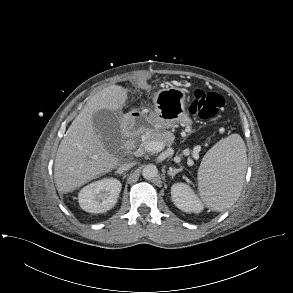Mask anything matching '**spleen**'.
Instances as JSON below:
<instances>
[{"label":"spleen","instance_id":"3e777b00","mask_svg":"<svg viewBox=\"0 0 293 293\" xmlns=\"http://www.w3.org/2000/svg\"><path fill=\"white\" fill-rule=\"evenodd\" d=\"M246 163V147L239 134L221 139L205 154L198 170V190L207 207L221 212L237 201Z\"/></svg>","mask_w":293,"mask_h":293}]
</instances>
